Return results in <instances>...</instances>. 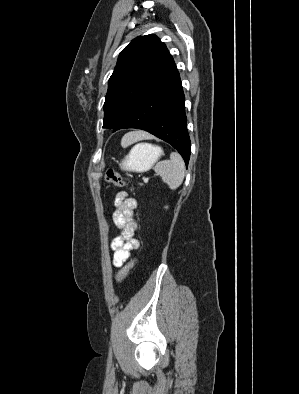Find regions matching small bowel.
Returning a JSON list of instances; mask_svg holds the SVG:
<instances>
[{
	"mask_svg": "<svg viewBox=\"0 0 299 394\" xmlns=\"http://www.w3.org/2000/svg\"><path fill=\"white\" fill-rule=\"evenodd\" d=\"M114 207L113 221L121 234L112 241L111 248L114 251L113 265L119 268L129 259L131 252L140 247V242L134 238L137 229L134 219L137 201L128 197L126 192H119L115 196Z\"/></svg>",
	"mask_w": 299,
	"mask_h": 394,
	"instance_id": "obj_1",
	"label": "small bowel"
}]
</instances>
